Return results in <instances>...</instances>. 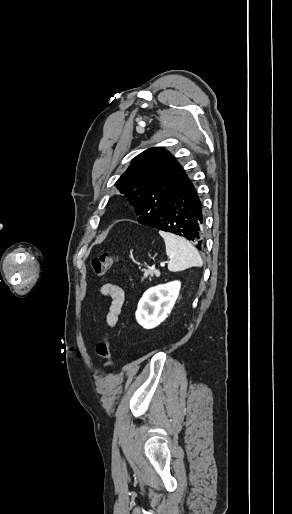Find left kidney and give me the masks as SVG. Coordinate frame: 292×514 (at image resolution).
<instances>
[{
	"instance_id": "obj_1",
	"label": "left kidney",
	"mask_w": 292,
	"mask_h": 514,
	"mask_svg": "<svg viewBox=\"0 0 292 514\" xmlns=\"http://www.w3.org/2000/svg\"><path fill=\"white\" fill-rule=\"evenodd\" d=\"M181 282L160 284L144 292L135 312L140 326L151 330L168 318L180 292Z\"/></svg>"
}]
</instances>
